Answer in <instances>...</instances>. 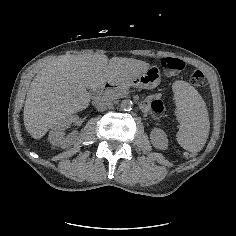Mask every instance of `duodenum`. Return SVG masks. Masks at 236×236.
Masks as SVG:
<instances>
[{
    "label": "duodenum",
    "mask_w": 236,
    "mask_h": 236,
    "mask_svg": "<svg viewBox=\"0 0 236 236\" xmlns=\"http://www.w3.org/2000/svg\"><path fill=\"white\" fill-rule=\"evenodd\" d=\"M113 87V85L107 81H101L98 88L95 90V92H103L105 90H109Z\"/></svg>",
    "instance_id": "obj_1"
}]
</instances>
